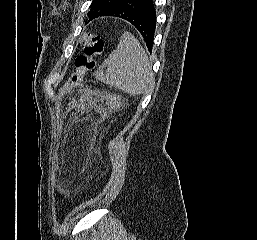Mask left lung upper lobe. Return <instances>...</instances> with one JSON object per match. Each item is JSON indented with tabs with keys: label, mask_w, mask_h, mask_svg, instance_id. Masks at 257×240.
<instances>
[{
	"label": "left lung upper lobe",
	"mask_w": 257,
	"mask_h": 240,
	"mask_svg": "<svg viewBox=\"0 0 257 240\" xmlns=\"http://www.w3.org/2000/svg\"><path fill=\"white\" fill-rule=\"evenodd\" d=\"M120 0H93L88 17L90 20L102 16L104 12L116 5Z\"/></svg>",
	"instance_id": "1"
}]
</instances>
